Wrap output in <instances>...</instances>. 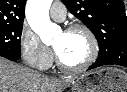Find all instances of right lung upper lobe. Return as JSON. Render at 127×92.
<instances>
[{
    "instance_id": "cb5924a9",
    "label": "right lung upper lobe",
    "mask_w": 127,
    "mask_h": 92,
    "mask_svg": "<svg viewBox=\"0 0 127 92\" xmlns=\"http://www.w3.org/2000/svg\"><path fill=\"white\" fill-rule=\"evenodd\" d=\"M26 0H0V25H20Z\"/></svg>"
}]
</instances>
